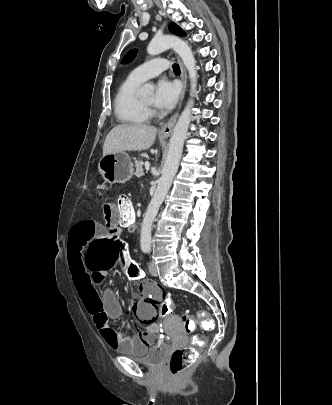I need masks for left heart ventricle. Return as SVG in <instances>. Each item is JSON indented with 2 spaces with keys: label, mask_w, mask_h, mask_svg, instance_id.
Instances as JSON below:
<instances>
[{
  "label": "left heart ventricle",
  "mask_w": 332,
  "mask_h": 405,
  "mask_svg": "<svg viewBox=\"0 0 332 405\" xmlns=\"http://www.w3.org/2000/svg\"><path fill=\"white\" fill-rule=\"evenodd\" d=\"M143 101L145 102V103H147V104H153V102H154V96L151 94V95H149V96H147V97H144L143 98Z\"/></svg>",
  "instance_id": "obj_1"
}]
</instances>
